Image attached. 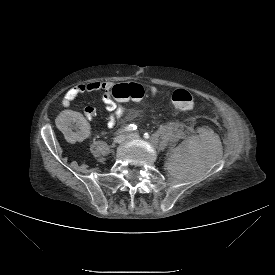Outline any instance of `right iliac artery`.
I'll return each mask as SVG.
<instances>
[{
	"label": "right iliac artery",
	"mask_w": 275,
	"mask_h": 275,
	"mask_svg": "<svg viewBox=\"0 0 275 275\" xmlns=\"http://www.w3.org/2000/svg\"><path fill=\"white\" fill-rule=\"evenodd\" d=\"M137 129V126L134 124H130L129 126L125 127V129H123L122 131H120V133L122 132H130V131H134Z\"/></svg>",
	"instance_id": "82829eb1"
}]
</instances>
